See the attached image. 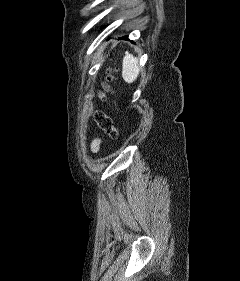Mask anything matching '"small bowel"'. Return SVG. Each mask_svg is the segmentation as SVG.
Here are the masks:
<instances>
[{"mask_svg":"<svg viewBox=\"0 0 240 281\" xmlns=\"http://www.w3.org/2000/svg\"><path fill=\"white\" fill-rule=\"evenodd\" d=\"M100 143H101V141H100L99 138H96V139L93 140V142H92V150L94 152L98 151Z\"/></svg>","mask_w":240,"mask_h":281,"instance_id":"small-bowel-1","label":"small bowel"}]
</instances>
